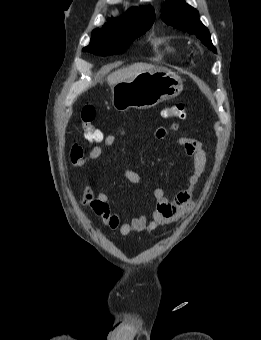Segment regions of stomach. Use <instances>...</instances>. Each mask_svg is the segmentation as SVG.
Here are the masks:
<instances>
[{
    "label": "stomach",
    "instance_id": "0dacf381",
    "mask_svg": "<svg viewBox=\"0 0 261 340\" xmlns=\"http://www.w3.org/2000/svg\"><path fill=\"white\" fill-rule=\"evenodd\" d=\"M183 90L181 78L167 70L146 71L112 88V106L117 111L148 109L178 96Z\"/></svg>",
    "mask_w": 261,
    "mask_h": 340
}]
</instances>
